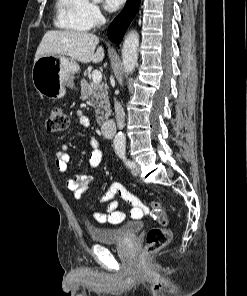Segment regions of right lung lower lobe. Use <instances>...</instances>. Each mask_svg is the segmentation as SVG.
<instances>
[{"label":"right lung lower lobe","mask_w":247,"mask_h":296,"mask_svg":"<svg viewBox=\"0 0 247 296\" xmlns=\"http://www.w3.org/2000/svg\"><path fill=\"white\" fill-rule=\"evenodd\" d=\"M141 0H127L124 9L108 28L109 39L117 45L122 41L125 31L134 18Z\"/></svg>","instance_id":"98d812e1"}]
</instances>
